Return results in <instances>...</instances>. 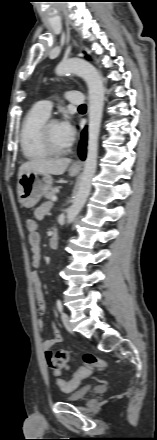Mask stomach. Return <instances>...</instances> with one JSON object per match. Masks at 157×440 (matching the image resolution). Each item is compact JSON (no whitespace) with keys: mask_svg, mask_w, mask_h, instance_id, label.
<instances>
[{"mask_svg":"<svg viewBox=\"0 0 157 440\" xmlns=\"http://www.w3.org/2000/svg\"><path fill=\"white\" fill-rule=\"evenodd\" d=\"M78 170L69 169V175L75 176ZM53 179L48 173L31 172L23 174L17 183L19 203L26 208L34 207L42 196L52 188Z\"/></svg>","mask_w":157,"mask_h":440,"instance_id":"1","label":"stomach"}]
</instances>
